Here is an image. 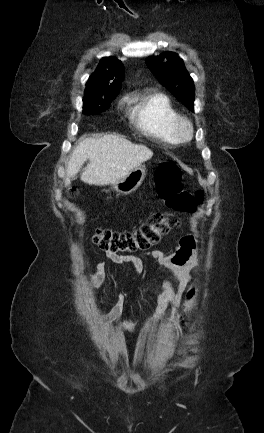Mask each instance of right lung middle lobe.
Instances as JSON below:
<instances>
[{
    "mask_svg": "<svg viewBox=\"0 0 264 433\" xmlns=\"http://www.w3.org/2000/svg\"><path fill=\"white\" fill-rule=\"evenodd\" d=\"M114 98L115 96L107 99H83V113L87 115L98 114L107 109Z\"/></svg>",
    "mask_w": 264,
    "mask_h": 433,
    "instance_id": "dd1d6c3e",
    "label": "right lung middle lobe"
}]
</instances>
